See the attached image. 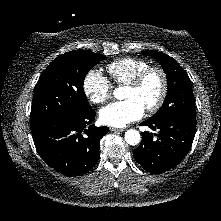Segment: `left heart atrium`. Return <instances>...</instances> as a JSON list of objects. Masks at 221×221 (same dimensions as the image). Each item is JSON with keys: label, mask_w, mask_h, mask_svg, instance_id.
I'll list each match as a JSON object with an SVG mask.
<instances>
[{"label": "left heart atrium", "mask_w": 221, "mask_h": 221, "mask_svg": "<svg viewBox=\"0 0 221 221\" xmlns=\"http://www.w3.org/2000/svg\"><path fill=\"white\" fill-rule=\"evenodd\" d=\"M144 106L135 98L114 102L99 112L100 121L112 127H124L140 119L144 114Z\"/></svg>", "instance_id": "left-heart-atrium-1"}]
</instances>
